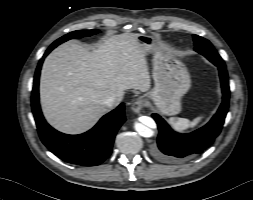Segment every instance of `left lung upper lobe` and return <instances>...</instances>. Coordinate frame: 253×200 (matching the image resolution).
Returning a JSON list of instances; mask_svg holds the SVG:
<instances>
[{"instance_id":"left-lung-upper-lobe-1","label":"left lung upper lobe","mask_w":253,"mask_h":200,"mask_svg":"<svg viewBox=\"0 0 253 200\" xmlns=\"http://www.w3.org/2000/svg\"><path fill=\"white\" fill-rule=\"evenodd\" d=\"M195 51L205 56L213 64L225 65L222 58L216 52L212 44L200 36L194 35Z\"/></svg>"}]
</instances>
